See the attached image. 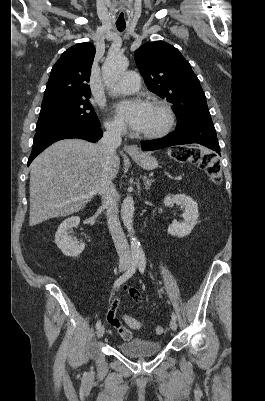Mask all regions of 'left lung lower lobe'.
Here are the masks:
<instances>
[{
  "mask_svg": "<svg viewBox=\"0 0 265 401\" xmlns=\"http://www.w3.org/2000/svg\"><path fill=\"white\" fill-rule=\"evenodd\" d=\"M190 143L204 145L220 154L216 130L210 116L191 119L181 125H177L175 131L169 135L160 139L142 141L141 145L144 151H151Z\"/></svg>",
  "mask_w": 265,
  "mask_h": 401,
  "instance_id": "1",
  "label": "left lung lower lobe"
}]
</instances>
